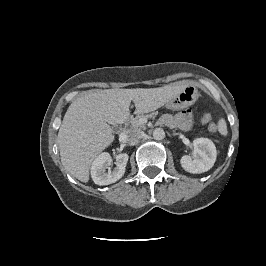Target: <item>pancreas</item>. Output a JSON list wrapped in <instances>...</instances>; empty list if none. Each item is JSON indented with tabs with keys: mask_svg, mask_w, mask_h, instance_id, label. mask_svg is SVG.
I'll list each match as a JSON object with an SVG mask.
<instances>
[{
	"mask_svg": "<svg viewBox=\"0 0 266 266\" xmlns=\"http://www.w3.org/2000/svg\"><path fill=\"white\" fill-rule=\"evenodd\" d=\"M151 115H137L134 118H131L130 123L133 129H145V124L142 121L144 118H149Z\"/></svg>",
	"mask_w": 266,
	"mask_h": 266,
	"instance_id": "cf45deb5",
	"label": "pancreas"
}]
</instances>
